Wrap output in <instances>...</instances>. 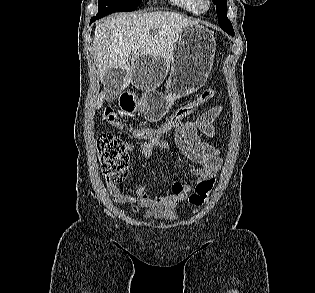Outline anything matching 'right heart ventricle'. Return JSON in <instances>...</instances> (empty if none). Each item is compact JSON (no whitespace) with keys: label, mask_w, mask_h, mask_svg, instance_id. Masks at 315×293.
Segmentation results:
<instances>
[{"label":"right heart ventricle","mask_w":315,"mask_h":293,"mask_svg":"<svg viewBox=\"0 0 315 293\" xmlns=\"http://www.w3.org/2000/svg\"><path fill=\"white\" fill-rule=\"evenodd\" d=\"M168 2L186 14H200L196 0H168Z\"/></svg>","instance_id":"right-heart-ventricle-1"}]
</instances>
